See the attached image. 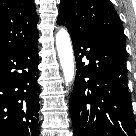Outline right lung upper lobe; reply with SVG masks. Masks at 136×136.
Segmentation results:
<instances>
[{"instance_id":"obj_1","label":"right lung upper lobe","mask_w":136,"mask_h":136,"mask_svg":"<svg viewBox=\"0 0 136 136\" xmlns=\"http://www.w3.org/2000/svg\"><path fill=\"white\" fill-rule=\"evenodd\" d=\"M33 0H0V53L18 49L38 37Z\"/></svg>"}]
</instances>
